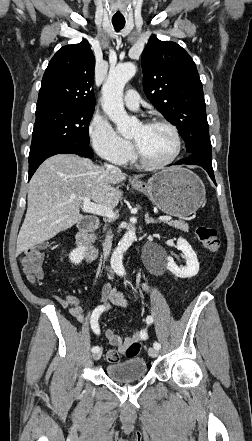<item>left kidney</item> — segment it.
<instances>
[{
	"instance_id": "obj_1",
	"label": "left kidney",
	"mask_w": 252,
	"mask_h": 441,
	"mask_svg": "<svg viewBox=\"0 0 252 441\" xmlns=\"http://www.w3.org/2000/svg\"><path fill=\"white\" fill-rule=\"evenodd\" d=\"M177 248L183 252L186 266L179 267L172 257H168L167 269L180 278H191L195 276L199 271V262L191 245L184 238L180 237L177 241Z\"/></svg>"
}]
</instances>
